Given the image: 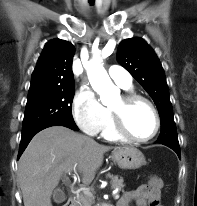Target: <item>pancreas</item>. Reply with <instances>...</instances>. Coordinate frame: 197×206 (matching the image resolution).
<instances>
[{"label": "pancreas", "mask_w": 197, "mask_h": 206, "mask_svg": "<svg viewBox=\"0 0 197 206\" xmlns=\"http://www.w3.org/2000/svg\"><path fill=\"white\" fill-rule=\"evenodd\" d=\"M111 178V187L112 189L118 188L119 190L124 188V180L122 177H118V176H110ZM78 206H91L93 203V199H92V194L91 193H85L80 195L79 199H78Z\"/></svg>", "instance_id": "1"}]
</instances>
